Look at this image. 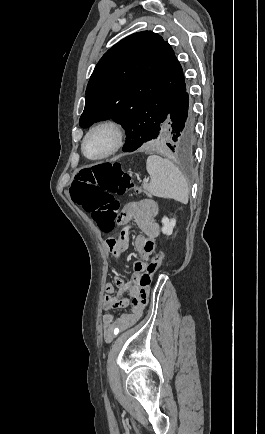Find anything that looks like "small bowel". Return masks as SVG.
<instances>
[{
	"label": "small bowel",
	"instance_id": "small-bowel-1",
	"mask_svg": "<svg viewBox=\"0 0 265 434\" xmlns=\"http://www.w3.org/2000/svg\"><path fill=\"white\" fill-rule=\"evenodd\" d=\"M159 206L152 199L132 201L126 204L120 217V223L126 225L125 230L118 236L106 239V246L110 254L120 258L127 248L129 228L131 223L137 225L142 234L135 239V245L141 256L151 259L155 251V238L160 234L157 221ZM144 264L136 262L132 280L142 273ZM103 309L106 313L101 318L102 336L105 342H111L118 334L135 324L142 316L143 310L150 302L151 292L148 289L141 293L130 281H126L116 273L113 282H106L104 286ZM130 306L129 311L115 313L116 310Z\"/></svg>",
	"mask_w": 265,
	"mask_h": 434
}]
</instances>
